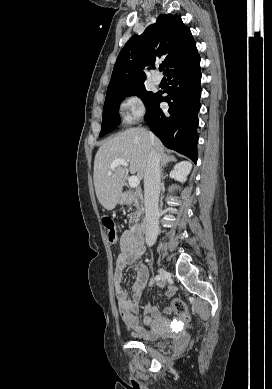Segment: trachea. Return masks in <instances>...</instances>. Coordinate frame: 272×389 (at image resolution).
I'll return each instance as SVG.
<instances>
[{
    "mask_svg": "<svg viewBox=\"0 0 272 389\" xmlns=\"http://www.w3.org/2000/svg\"><path fill=\"white\" fill-rule=\"evenodd\" d=\"M159 70L163 71L164 70V66L163 65L159 66Z\"/></svg>",
    "mask_w": 272,
    "mask_h": 389,
    "instance_id": "3493384b",
    "label": "trachea"
}]
</instances>
